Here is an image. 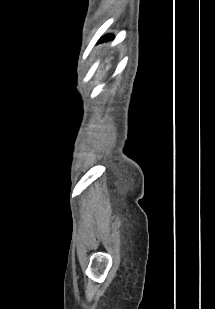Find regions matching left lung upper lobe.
<instances>
[{
    "label": "left lung upper lobe",
    "instance_id": "left-lung-upper-lobe-1",
    "mask_svg": "<svg viewBox=\"0 0 215 309\" xmlns=\"http://www.w3.org/2000/svg\"><path fill=\"white\" fill-rule=\"evenodd\" d=\"M112 37H113L112 35H107V36L103 37L100 41L108 40Z\"/></svg>",
    "mask_w": 215,
    "mask_h": 309
}]
</instances>
